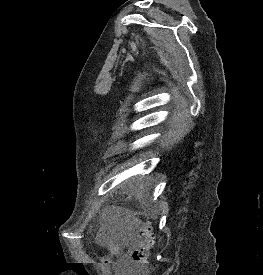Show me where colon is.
Segmentation results:
<instances>
[{
  "mask_svg": "<svg viewBox=\"0 0 263 275\" xmlns=\"http://www.w3.org/2000/svg\"><path fill=\"white\" fill-rule=\"evenodd\" d=\"M129 235L131 243L130 259L123 270V275H146L149 253L153 244L151 227L147 223L134 218L129 225ZM108 251L110 256L105 261H109L110 257L116 253L117 247L110 245Z\"/></svg>",
  "mask_w": 263,
  "mask_h": 275,
  "instance_id": "colon-1",
  "label": "colon"
}]
</instances>
